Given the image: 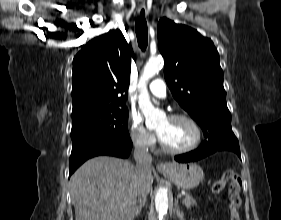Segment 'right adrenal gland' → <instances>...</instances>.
Segmentation results:
<instances>
[{"instance_id":"right-adrenal-gland-1","label":"right adrenal gland","mask_w":281,"mask_h":220,"mask_svg":"<svg viewBox=\"0 0 281 220\" xmlns=\"http://www.w3.org/2000/svg\"><path fill=\"white\" fill-rule=\"evenodd\" d=\"M146 200L143 198H139L136 208H135V216L138 217L141 213V209L145 206Z\"/></svg>"}]
</instances>
